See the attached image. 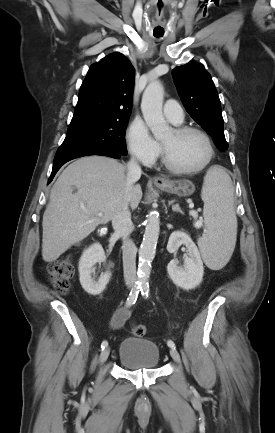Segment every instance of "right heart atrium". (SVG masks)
<instances>
[{
    "label": "right heart atrium",
    "mask_w": 275,
    "mask_h": 433,
    "mask_svg": "<svg viewBox=\"0 0 275 433\" xmlns=\"http://www.w3.org/2000/svg\"><path fill=\"white\" fill-rule=\"evenodd\" d=\"M126 141L130 154L144 165L153 164L160 154V145L152 137L145 122L134 119L126 130Z\"/></svg>",
    "instance_id": "obj_1"
}]
</instances>
